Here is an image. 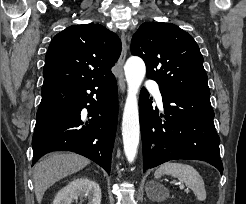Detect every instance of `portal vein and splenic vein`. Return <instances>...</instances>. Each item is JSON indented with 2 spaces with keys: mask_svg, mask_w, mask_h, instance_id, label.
I'll list each match as a JSON object with an SVG mask.
<instances>
[{
  "mask_svg": "<svg viewBox=\"0 0 246 204\" xmlns=\"http://www.w3.org/2000/svg\"><path fill=\"white\" fill-rule=\"evenodd\" d=\"M180 188H181V189H184V185H183V184H180Z\"/></svg>",
  "mask_w": 246,
  "mask_h": 204,
  "instance_id": "obj_1",
  "label": "portal vein and splenic vein"
}]
</instances>
